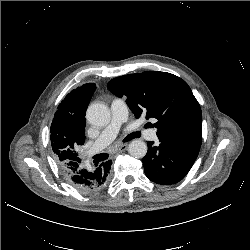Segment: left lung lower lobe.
I'll return each instance as SVG.
<instances>
[{
  "mask_svg": "<svg viewBox=\"0 0 250 250\" xmlns=\"http://www.w3.org/2000/svg\"><path fill=\"white\" fill-rule=\"evenodd\" d=\"M143 158L146 176L161 185L175 184L182 180L194 164L200 148L181 146L160 141L148 142Z\"/></svg>",
  "mask_w": 250,
  "mask_h": 250,
  "instance_id": "1",
  "label": "left lung lower lobe"
}]
</instances>
